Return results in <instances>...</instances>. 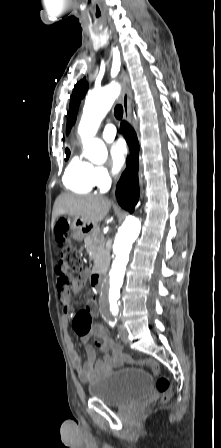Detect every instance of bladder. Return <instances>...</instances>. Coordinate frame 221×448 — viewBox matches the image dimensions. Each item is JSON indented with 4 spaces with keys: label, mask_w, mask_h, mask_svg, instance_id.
I'll list each match as a JSON object with an SVG mask.
<instances>
[{
    "label": "bladder",
    "mask_w": 221,
    "mask_h": 448,
    "mask_svg": "<svg viewBox=\"0 0 221 448\" xmlns=\"http://www.w3.org/2000/svg\"><path fill=\"white\" fill-rule=\"evenodd\" d=\"M153 390V378L143 369L120 367L99 376L88 385L92 399L112 407H121L145 399Z\"/></svg>",
    "instance_id": "obj_1"
}]
</instances>
